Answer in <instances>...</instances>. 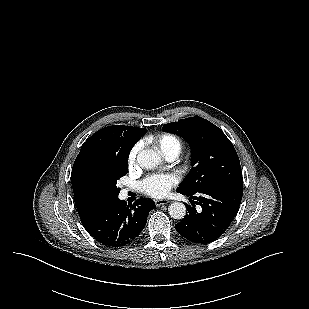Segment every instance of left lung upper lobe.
<instances>
[{
    "mask_svg": "<svg viewBox=\"0 0 309 309\" xmlns=\"http://www.w3.org/2000/svg\"><path fill=\"white\" fill-rule=\"evenodd\" d=\"M162 130L183 137L192 149V168L177 192L191 194L223 185H243L236 150L213 123L194 116L165 124Z\"/></svg>",
    "mask_w": 309,
    "mask_h": 309,
    "instance_id": "left-lung-upper-lobe-1",
    "label": "left lung upper lobe"
}]
</instances>
